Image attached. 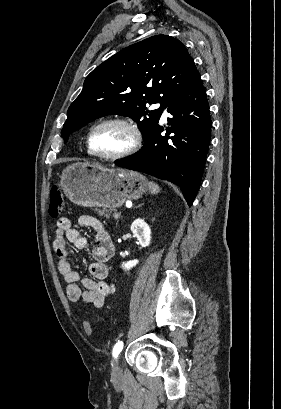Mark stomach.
I'll return each mask as SVG.
<instances>
[{"label": "stomach", "mask_w": 281, "mask_h": 409, "mask_svg": "<svg viewBox=\"0 0 281 409\" xmlns=\"http://www.w3.org/2000/svg\"><path fill=\"white\" fill-rule=\"evenodd\" d=\"M61 188L79 207H121L126 198H140L148 182L140 172L105 168L99 162H72L62 170Z\"/></svg>", "instance_id": "stomach-1"}]
</instances>
